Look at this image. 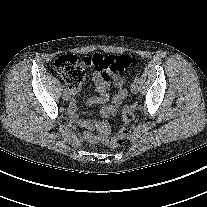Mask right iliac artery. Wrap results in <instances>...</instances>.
Wrapping results in <instances>:
<instances>
[{
    "mask_svg": "<svg viewBox=\"0 0 207 207\" xmlns=\"http://www.w3.org/2000/svg\"><path fill=\"white\" fill-rule=\"evenodd\" d=\"M65 90H66L65 86H63V91H65Z\"/></svg>",
    "mask_w": 207,
    "mask_h": 207,
    "instance_id": "82829eb1",
    "label": "right iliac artery"
}]
</instances>
